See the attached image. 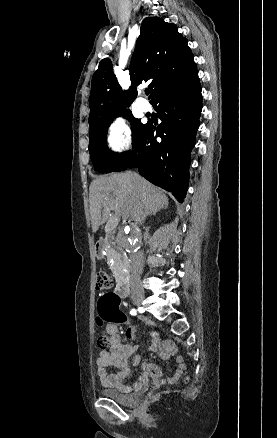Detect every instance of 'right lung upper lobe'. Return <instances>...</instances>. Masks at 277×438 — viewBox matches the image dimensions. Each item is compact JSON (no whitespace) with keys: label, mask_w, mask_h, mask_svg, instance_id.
I'll return each instance as SVG.
<instances>
[{"label":"right lung upper lobe","mask_w":277,"mask_h":438,"mask_svg":"<svg viewBox=\"0 0 277 438\" xmlns=\"http://www.w3.org/2000/svg\"><path fill=\"white\" fill-rule=\"evenodd\" d=\"M187 43L175 24L159 17L146 18L129 67L130 89L125 92L121 89L108 58L100 62L94 73L89 125L131 114L126 107L136 98L137 85L148 82L152 99L162 87L191 74L197 67Z\"/></svg>","instance_id":"obj_1"}]
</instances>
